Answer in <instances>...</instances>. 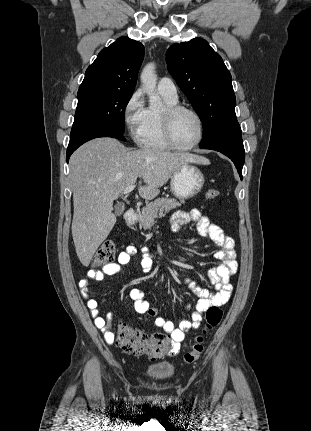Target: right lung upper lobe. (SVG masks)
Listing matches in <instances>:
<instances>
[{
	"mask_svg": "<svg viewBox=\"0 0 311 431\" xmlns=\"http://www.w3.org/2000/svg\"><path fill=\"white\" fill-rule=\"evenodd\" d=\"M142 43L121 37L104 48L88 67L79 91L99 89L133 93L144 57Z\"/></svg>",
	"mask_w": 311,
	"mask_h": 431,
	"instance_id": "obj_1",
	"label": "right lung upper lobe"
}]
</instances>
